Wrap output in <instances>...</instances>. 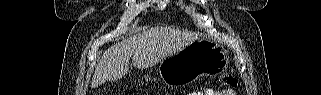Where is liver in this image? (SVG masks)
Instances as JSON below:
<instances>
[{"label":"liver","instance_id":"6515ba94","mask_svg":"<svg viewBox=\"0 0 321 95\" xmlns=\"http://www.w3.org/2000/svg\"><path fill=\"white\" fill-rule=\"evenodd\" d=\"M197 35L172 28L156 27L131 36L108 48L92 77L91 87L115 81L129 71V60L139 69L152 67L198 40Z\"/></svg>","mask_w":321,"mask_h":95}]
</instances>
